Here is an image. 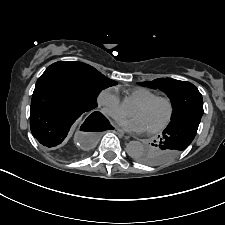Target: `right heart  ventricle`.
I'll return each instance as SVG.
<instances>
[{
    "instance_id": "right-heart-ventricle-1",
    "label": "right heart ventricle",
    "mask_w": 225,
    "mask_h": 225,
    "mask_svg": "<svg viewBox=\"0 0 225 225\" xmlns=\"http://www.w3.org/2000/svg\"><path fill=\"white\" fill-rule=\"evenodd\" d=\"M156 95V92L143 87L134 88L126 92V98L134 103L145 101Z\"/></svg>"
}]
</instances>
